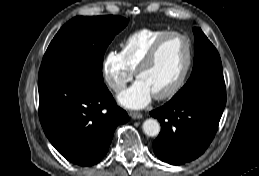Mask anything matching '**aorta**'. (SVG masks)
I'll return each mask as SVG.
<instances>
[{
	"label": "aorta",
	"mask_w": 259,
	"mask_h": 176,
	"mask_svg": "<svg viewBox=\"0 0 259 176\" xmlns=\"http://www.w3.org/2000/svg\"><path fill=\"white\" fill-rule=\"evenodd\" d=\"M143 132L149 137H155L160 133V124L155 119H146L143 122Z\"/></svg>",
	"instance_id": "1"
}]
</instances>
